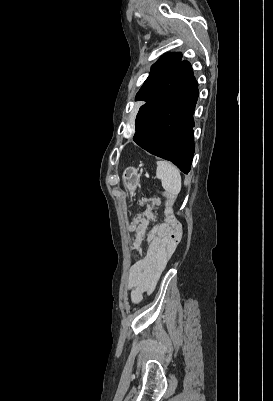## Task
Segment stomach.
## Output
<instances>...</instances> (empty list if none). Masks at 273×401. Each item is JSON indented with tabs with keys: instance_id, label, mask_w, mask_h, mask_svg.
Wrapping results in <instances>:
<instances>
[{
	"instance_id": "0dacf381",
	"label": "stomach",
	"mask_w": 273,
	"mask_h": 401,
	"mask_svg": "<svg viewBox=\"0 0 273 401\" xmlns=\"http://www.w3.org/2000/svg\"><path fill=\"white\" fill-rule=\"evenodd\" d=\"M140 176L138 168H134V166H127L122 174L123 184L132 196H134L137 186H140Z\"/></svg>"
}]
</instances>
